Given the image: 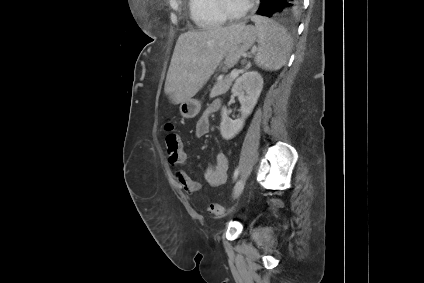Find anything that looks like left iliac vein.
I'll return each instance as SVG.
<instances>
[{
  "label": "left iliac vein",
  "instance_id": "1",
  "mask_svg": "<svg viewBox=\"0 0 424 283\" xmlns=\"http://www.w3.org/2000/svg\"><path fill=\"white\" fill-rule=\"evenodd\" d=\"M244 186H245V177L241 176L234 187V191H233L234 198L238 197L242 193Z\"/></svg>",
  "mask_w": 424,
  "mask_h": 283
}]
</instances>
